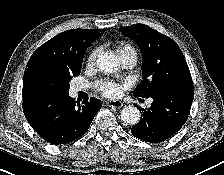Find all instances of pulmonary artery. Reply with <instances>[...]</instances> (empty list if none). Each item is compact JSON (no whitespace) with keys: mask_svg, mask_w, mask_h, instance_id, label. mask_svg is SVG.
<instances>
[{"mask_svg":"<svg viewBox=\"0 0 224 175\" xmlns=\"http://www.w3.org/2000/svg\"><path fill=\"white\" fill-rule=\"evenodd\" d=\"M122 66L125 69H131L136 65L137 62V54L135 51L124 52L119 55ZM83 88L81 86H75L73 88L74 92L81 91Z\"/></svg>","mask_w":224,"mask_h":175,"instance_id":"e3ab8cb5","label":"pulmonary artery"}]
</instances>
